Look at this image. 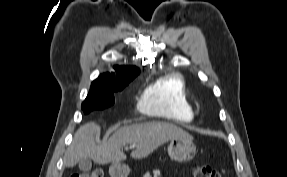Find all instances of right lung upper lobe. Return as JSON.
Returning <instances> with one entry per match:
<instances>
[{"instance_id":"1","label":"right lung upper lobe","mask_w":287,"mask_h":177,"mask_svg":"<svg viewBox=\"0 0 287 177\" xmlns=\"http://www.w3.org/2000/svg\"><path fill=\"white\" fill-rule=\"evenodd\" d=\"M115 73H104L101 74L96 80L92 83L101 85V86H116L124 83H129L132 81L138 74L139 69L135 66H114Z\"/></svg>"}]
</instances>
